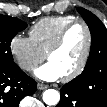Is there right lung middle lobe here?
I'll list each match as a JSON object with an SVG mask.
<instances>
[{
    "label": "right lung middle lobe",
    "instance_id": "1",
    "mask_svg": "<svg viewBox=\"0 0 107 107\" xmlns=\"http://www.w3.org/2000/svg\"><path fill=\"white\" fill-rule=\"evenodd\" d=\"M26 27L25 22L15 17L0 15V67L15 65L10 44L12 38Z\"/></svg>",
    "mask_w": 107,
    "mask_h": 107
}]
</instances>
